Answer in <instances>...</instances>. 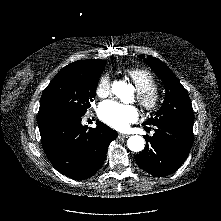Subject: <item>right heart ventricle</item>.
Returning <instances> with one entry per match:
<instances>
[{
  "label": "right heart ventricle",
  "mask_w": 221,
  "mask_h": 221,
  "mask_svg": "<svg viewBox=\"0 0 221 221\" xmlns=\"http://www.w3.org/2000/svg\"><path fill=\"white\" fill-rule=\"evenodd\" d=\"M125 74L133 82L137 91H145L156 85L154 75L147 69L128 68L125 70Z\"/></svg>",
  "instance_id": "e07e8e85"
}]
</instances>
